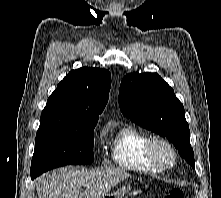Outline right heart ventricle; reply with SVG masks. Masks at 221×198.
<instances>
[{
  "mask_svg": "<svg viewBox=\"0 0 221 198\" xmlns=\"http://www.w3.org/2000/svg\"><path fill=\"white\" fill-rule=\"evenodd\" d=\"M151 136L132 127L125 126L118 130L110 144V155L113 162L126 170L158 173L161 170L154 166L146 156V146Z\"/></svg>",
  "mask_w": 221,
  "mask_h": 198,
  "instance_id": "right-heart-ventricle-1",
  "label": "right heart ventricle"
}]
</instances>
